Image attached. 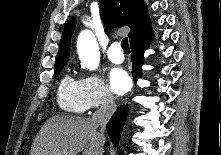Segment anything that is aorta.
<instances>
[{
    "instance_id": "aorta-1",
    "label": "aorta",
    "mask_w": 221,
    "mask_h": 155,
    "mask_svg": "<svg viewBox=\"0 0 221 155\" xmlns=\"http://www.w3.org/2000/svg\"><path fill=\"white\" fill-rule=\"evenodd\" d=\"M80 61L89 70H95L100 63V51L94 34L90 30L80 33L77 41Z\"/></svg>"
}]
</instances>
